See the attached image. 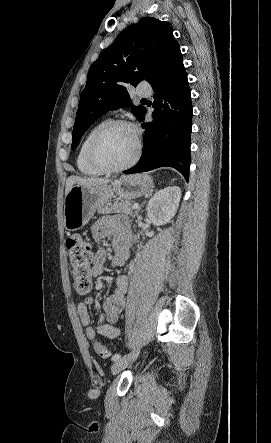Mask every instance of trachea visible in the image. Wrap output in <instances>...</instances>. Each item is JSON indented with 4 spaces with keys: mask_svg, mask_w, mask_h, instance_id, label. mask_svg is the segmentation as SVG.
<instances>
[{
    "mask_svg": "<svg viewBox=\"0 0 271 443\" xmlns=\"http://www.w3.org/2000/svg\"><path fill=\"white\" fill-rule=\"evenodd\" d=\"M141 101H147V99L146 98H142Z\"/></svg>",
    "mask_w": 271,
    "mask_h": 443,
    "instance_id": "3493384b",
    "label": "trachea"
}]
</instances>
